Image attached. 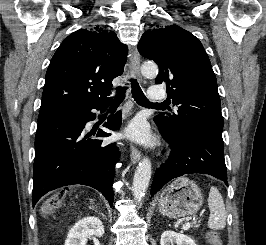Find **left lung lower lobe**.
<instances>
[{
    "label": "left lung lower lobe",
    "mask_w": 266,
    "mask_h": 245,
    "mask_svg": "<svg viewBox=\"0 0 266 245\" xmlns=\"http://www.w3.org/2000/svg\"><path fill=\"white\" fill-rule=\"evenodd\" d=\"M154 121L163 138L169 143L171 154L168 161L156 170L151 195L157 193L171 179L184 174H209L228 185L222 132L188 125L178 136H174L155 119Z\"/></svg>",
    "instance_id": "1"
}]
</instances>
